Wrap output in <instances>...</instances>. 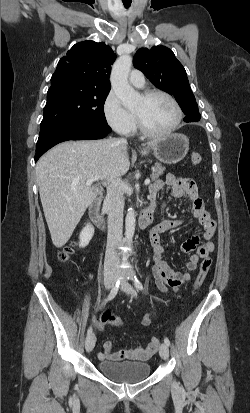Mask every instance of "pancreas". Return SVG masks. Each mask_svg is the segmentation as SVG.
<instances>
[{
  "label": "pancreas",
  "instance_id": "pancreas-1",
  "mask_svg": "<svg viewBox=\"0 0 250 413\" xmlns=\"http://www.w3.org/2000/svg\"><path fill=\"white\" fill-rule=\"evenodd\" d=\"M153 173L151 175L152 180L158 179L164 172L165 167L162 166L160 163H156L152 168Z\"/></svg>",
  "mask_w": 250,
  "mask_h": 413
}]
</instances>
